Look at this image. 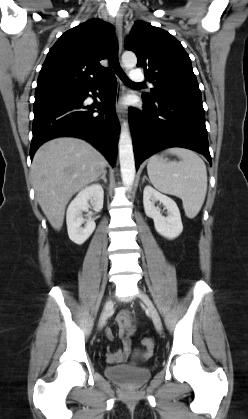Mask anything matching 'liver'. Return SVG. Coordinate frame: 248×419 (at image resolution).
I'll return each mask as SVG.
<instances>
[{
	"mask_svg": "<svg viewBox=\"0 0 248 419\" xmlns=\"http://www.w3.org/2000/svg\"><path fill=\"white\" fill-rule=\"evenodd\" d=\"M106 166L105 157L79 138H57L37 150L31 166L32 183L36 199L55 230L62 228L71 197L96 181Z\"/></svg>",
	"mask_w": 248,
	"mask_h": 419,
	"instance_id": "liver-1",
	"label": "liver"
}]
</instances>
